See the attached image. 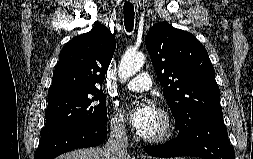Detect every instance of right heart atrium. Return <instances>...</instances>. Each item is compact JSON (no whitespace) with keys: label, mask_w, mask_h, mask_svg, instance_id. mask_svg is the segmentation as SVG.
<instances>
[{"label":"right heart atrium","mask_w":253,"mask_h":159,"mask_svg":"<svg viewBox=\"0 0 253 159\" xmlns=\"http://www.w3.org/2000/svg\"><path fill=\"white\" fill-rule=\"evenodd\" d=\"M108 127L118 137H124L128 133L127 122L122 113L117 109H113L110 112L108 116Z\"/></svg>","instance_id":"1"}]
</instances>
